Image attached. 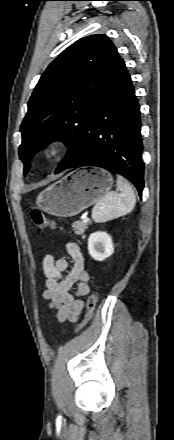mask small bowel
Listing matches in <instances>:
<instances>
[{
  "label": "small bowel",
  "instance_id": "c3829d8e",
  "mask_svg": "<svg viewBox=\"0 0 174 440\" xmlns=\"http://www.w3.org/2000/svg\"><path fill=\"white\" fill-rule=\"evenodd\" d=\"M66 251L72 263L70 268L66 258H56L51 254H47L42 261L46 285L43 299L49 301V308L56 311L60 323L78 321L84 308L83 299L90 292V276L84 268V257L79 246L68 242ZM74 286L76 290L72 292Z\"/></svg>",
  "mask_w": 174,
  "mask_h": 440
}]
</instances>
